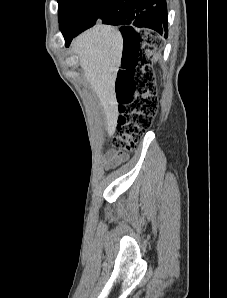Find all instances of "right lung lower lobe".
I'll return each instance as SVG.
<instances>
[{
  "label": "right lung lower lobe",
  "instance_id": "1",
  "mask_svg": "<svg viewBox=\"0 0 227 298\" xmlns=\"http://www.w3.org/2000/svg\"><path fill=\"white\" fill-rule=\"evenodd\" d=\"M100 21L104 24L123 25L120 30L124 36V49L127 37L136 35L134 27L150 28L167 38L166 0H106L76 31L64 34L66 47L75 36Z\"/></svg>",
  "mask_w": 227,
  "mask_h": 298
}]
</instances>
